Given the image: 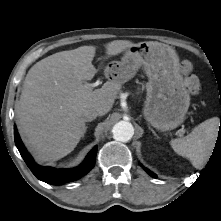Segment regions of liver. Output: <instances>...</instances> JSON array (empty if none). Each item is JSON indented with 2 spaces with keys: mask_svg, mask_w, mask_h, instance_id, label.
<instances>
[{
  "mask_svg": "<svg viewBox=\"0 0 221 221\" xmlns=\"http://www.w3.org/2000/svg\"><path fill=\"white\" fill-rule=\"evenodd\" d=\"M133 43L114 40L105 45L107 56H116ZM95 46H80L50 55L28 71L16 106L19 133L38 161L58 160L79 143L86 132L83 110L97 107L107 114L121 89L107 81L93 90L85 81L97 70L92 64Z\"/></svg>",
  "mask_w": 221,
  "mask_h": 221,
  "instance_id": "1",
  "label": "liver"
}]
</instances>
